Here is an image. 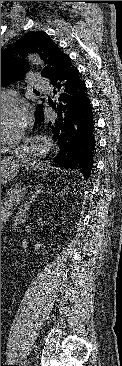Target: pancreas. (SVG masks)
Returning a JSON list of instances; mask_svg holds the SVG:
<instances>
[{"mask_svg": "<svg viewBox=\"0 0 122 366\" xmlns=\"http://www.w3.org/2000/svg\"><path fill=\"white\" fill-rule=\"evenodd\" d=\"M25 191L21 188L20 185H14L10 189L6 190V195L3 199V202H12L14 203L17 200H20L23 197Z\"/></svg>", "mask_w": 122, "mask_h": 366, "instance_id": "cf45deb5", "label": "pancreas"}]
</instances>
